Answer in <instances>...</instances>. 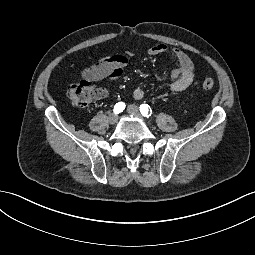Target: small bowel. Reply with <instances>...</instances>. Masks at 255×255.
<instances>
[{
	"mask_svg": "<svg viewBox=\"0 0 255 255\" xmlns=\"http://www.w3.org/2000/svg\"><path fill=\"white\" fill-rule=\"evenodd\" d=\"M150 56L171 53L174 55L178 67L171 71V84L169 90L171 92H181L187 89L194 80V63L190 56L179 49L169 48L164 44H156L147 49ZM127 58L122 55H112L102 58L97 63L85 68L81 77L90 82H96L104 79H116L123 73ZM104 94V91L101 92ZM144 89L140 86L134 88L133 97L140 100L144 97Z\"/></svg>",
	"mask_w": 255,
	"mask_h": 255,
	"instance_id": "c3829d8e",
	"label": "small bowel"
}]
</instances>
